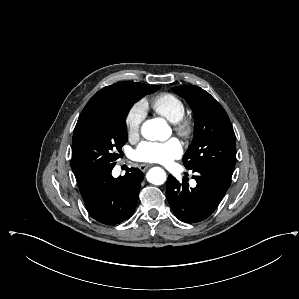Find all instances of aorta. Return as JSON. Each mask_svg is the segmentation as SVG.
<instances>
[{
	"label": "aorta",
	"instance_id": "aorta-1",
	"mask_svg": "<svg viewBox=\"0 0 299 299\" xmlns=\"http://www.w3.org/2000/svg\"><path fill=\"white\" fill-rule=\"evenodd\" d=\"M141 134L148 140L164 141L170 136L171 129L164 119L153 118L143 123ZM146 178L154 185H162L166 181V173L160 167H153L148 171Z\"/></svg>",
	"mask_w": 299,
	"mask_h": 299
}]
</instances>
